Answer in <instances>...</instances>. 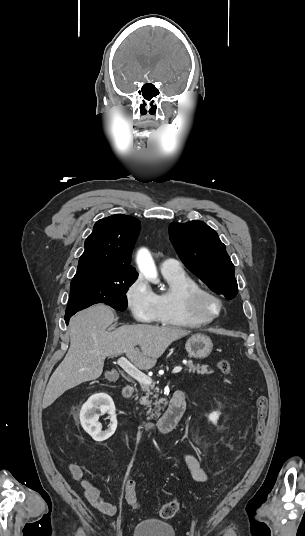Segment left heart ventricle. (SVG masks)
Instances as JSON below:
<instances>
[{
  "label": "left heart ventricle",
  "instance_id": "obj_1",
  "mask_svg": "<svg viewBox=\"0 0 305 536\" xmlns=\"http://www.w3.org/2000/svg\"><path fill=\"white\" fill-rule=\"evenodd\" d=\"M219 302L215 299H212V298H208L206 300V309H205V314L207 316H213L215 315L218 310H219Z\"/></svg>",
  "mask_w": 305,
  "mask_h": 536
}]
</instances>
